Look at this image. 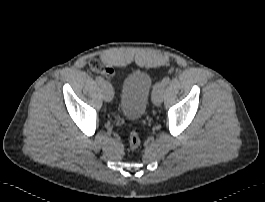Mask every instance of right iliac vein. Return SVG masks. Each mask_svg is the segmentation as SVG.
I'll list each match as a JSON object with an SVG mask.
<instances>
[{
  "label": "right iliac vein",
  "instance_id": "right-iliac-vein-1",
  "mask_svg": "<svg viewBox=\"0 0 265 202\" xmlns=\"http://www.w3.org/2000/svg\"><path fill=\"white\" fill-rule=\"evenodd\" d=\"M102 94L106 102H111L113 99L114 91L112 86L109 83H104L102 85Z\"/></svg>",
  "mask_w": 265,
  "mask_h": 202
}]
</instances>
